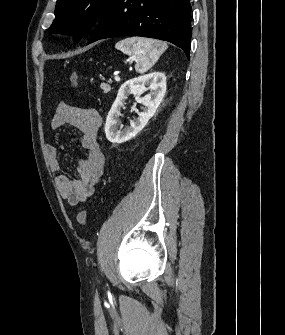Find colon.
<instances>
[{
    "mask_svg": "<svg viewBox=\"0 0 285 335\" xmlns=\"http://www.w3.org/2000/svg\"><path fill=\"white\" fill-rule=\"evenodd\" d=\"M69 80H70V84L72 87L74 88L78 87L79 79H78V75L76 74V72H72L70 74ZM87 217H88V214L86 210L79 211L76 217L78 224L81 226H85L87 223Z\"/></svg>",
    "mask_w": 285,
    "mask_h": 335,
    "instance_id": "obj_1",
    "label": "colon"
}]
</instances>
